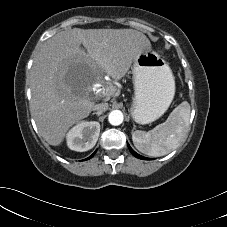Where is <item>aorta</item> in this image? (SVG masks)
<instances>
[{
  "mask_svg": "<svg viewBox=\"0 0 227 227\" xmlns=\"http://www.w3.org/2000/svg\"><path fill=\"white\" fill-rule=\"evenodd\" d=\"M123 113L120 110H113L108 116L109 123L113 126H118L123 122Z\"/></svg>",
  "mask_w": 227,
  "mask_h": 227,
  "instance_id": "1",
  "label": "aorta"
}]
</instances>
